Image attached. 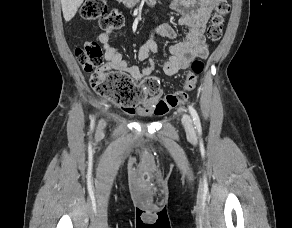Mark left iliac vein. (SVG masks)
<instances>
[{
  "instance_id": "obj_1",
  "label": "left iliac vein",
  "mask_w": 292,
  "mask_h": 228,
  "mask_svg": "<svg viewBox=\"0 0 292 228\" xmlns=\"http://www.w3.org/2000/svg\"><path fill=\"white\" fill-rule=\"evenodd\" d=\"M182 124H183V126L186 129L188 134L194 135L195 131H194V127H193L192 119H191L190 115L183 114Z\"/></svg>"
}]
</instances>
